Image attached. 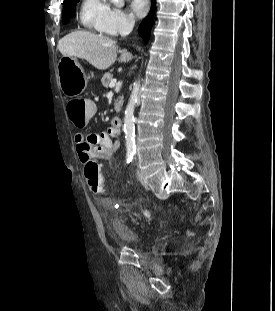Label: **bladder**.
I'll return each instance as SVG.
<instances>
[{
  "instance_id": "1",
  "label": "bladder",
  "mask_w": 275,
  "mask_h": 311,
  "mask_svg": "<svg viewBox=\"0 0 275 311\" xmlns=\"http://www.w3.org/2000/svg\"><path fill=\"white\" fill-rule=\"evenodd\" d=\"M109 224L113 236L120 245H131L136 241L135 232L116 215L110 217Z\"/></svg>"
}]
</instances>
